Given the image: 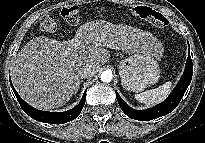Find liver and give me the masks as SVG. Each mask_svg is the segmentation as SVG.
<instances>
[{"label": "liver", "instance_id": "6515ba94", "mask_svg": "<svg viewBox=\"0 0 205 143\" xmlns=\"http://www.w3.org/2000/svg\"><path fill=\"white\" fill-rule=\"evenodd\" d=\"M95 43H103V47ZM104 47L127 54L144 50L161 53V44L147 31L94 20L81 25L68 41L45 36L30 40L12 61L13 85L33 107L59 108L78 91L84 66H95L98 72L109 61L110 52Z\"/></svg>", "mask_w": 205, "mask_h": 143}]
</instances>
